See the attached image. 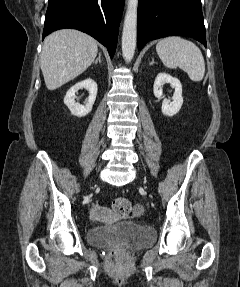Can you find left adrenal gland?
I'll list each match as a JSON object with an SVG mask.
<instances>
[{
	"mask_svg": "<svg viewBox=\"0 0 240 287\" xmlns=\"http://www.w3.org/2000/svg\"><path fill=\"white\" fill-rule=\"evenodd\" d=\"M155 62H154V58H152V61L150 63V65H153Z\"/></svg>",
	"mask_w": 240,
	"mask_h": 287,
	"instance_id": "1",
	"label": "left adrenal gland"
}]
</instances>
